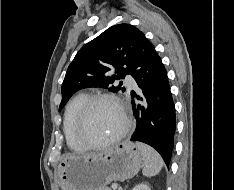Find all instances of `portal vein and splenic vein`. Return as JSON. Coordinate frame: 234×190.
<instances>
[{"label":"portal vein and splenic vein","mask_w":234,"mask_h":190,"mask_svg":"<svg viewBox=\"0 0 234 190\" xmlns=\"http://www.w3.org/2000/svg\"><path fill=\"white\" fill-rule=\"evenodd\" d=\"M117 187H118L117 184H113V185H112V188H113L114 190H116Z\"/></svg>","instance_id":"portal-vein-and-splenic-vein-1"}]
</instances>
